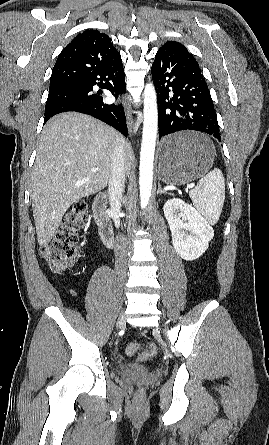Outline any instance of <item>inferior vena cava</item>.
I'll return each mask as SVG.
<instances>
[{"mask_svg":"<svg viewBox=\"0 0 269 445\" xmlns=\"http://www.w3.org/2000/svg\"><path fill=\"white\" fill-rule=\"evenodd\" d=\"M111 178L108 194L115 226H119V212L125 187L124 139H116L111 160Z\"/></svg>","mask_w":269,"mask_h":445,"instance_id":"inferior-vena-cava-1","label":"inferior vena cava"}]
</instances>
